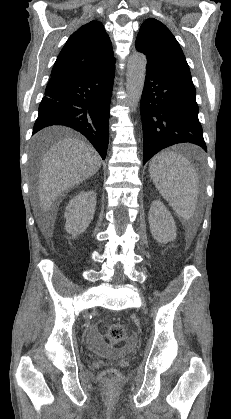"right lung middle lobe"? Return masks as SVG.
<instances>
[{
  "label": "right lung middle lobe",
  "mask_w": 231,
  "mask_h": 419,
  "mask_svg": "<svg viewBox=\"0 0 231 419\" xmlns=\"http://www.w3.org/2000/svg\"><path fill=\"white\" fill-rule=\"evenodd\" d=\"M40 144H41V143H39V142H36V146H40Z\"/></svg>",
  "instance_id": "1"
}]
</instances>
